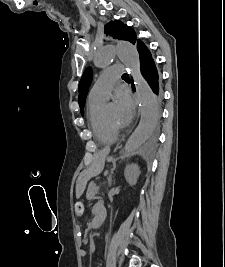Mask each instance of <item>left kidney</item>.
I'll return each mask as SVG.
<instances>
[{
    "label": "left kidney",
    "mask_w": 225,
    "mask_h": 267,
    "mask_svg": "<svg viewBox=\"0 0 225 267\" xmlns=\"http://www.w3.org/2000/svg\"><path fill=\"white\" fill-rule=\"evenodd\" d=\"M139 175L140 169L137 164L128 165L124 171L125 179L131 186L137 183Z\"/></svg>",
    "instance_id": "left-kidney-1"
}]
</instances>
